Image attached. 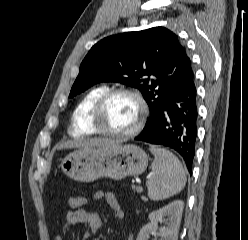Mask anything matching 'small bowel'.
Listing matches in <instances>:
<instances>
[{
    "label": "small bowel",
    "mask_w": 248,
    "mask_h": 240,
    "mask_svg": "<svg viewBox=\"0 0 248 240\" xmlns=\"http://www.w3.org/2000/svg\"><path fill=\"white\" fill-rule=\"evenodd\" d=\"M94 200H105L109 206L114 210L115 217L123 221L125 219V213L121 208L116 196L111 192L97 191L93 195ZM75 224H82L85 229L79 240H87L92 233L98 232L102 227V220L100 216L87 209H79L76 211H70L67 213L62 231L66 232ZM54 240H63L61 235H57ZM126 240H134L133 232L128 229Z\"/></svg>",
    "instance_id": "1"
}]
</instances>
